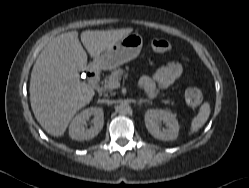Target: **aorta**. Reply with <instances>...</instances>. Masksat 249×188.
<instances>
[{"label":"aorta","instance_id":"obj_1","mask_svg":"<svg viewBox=\"0 0 249 188\" xmlns=\"http://www.w3.org/2000/svg\"><path fill=\"white\" fill-rule=\"evenodd\" d=\"M129 110H130V107L126 103H122L118 107V111L120 114H127L129 112Z\"/></svg>","mask_w":249,"mask_h":188}]
</instances>
